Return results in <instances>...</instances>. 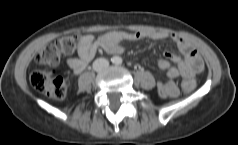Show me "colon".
Returning <instances> with one entry per match:
<instances>
[{
	"label": "colon",
	"mask_w": 238,
	"mask_h": 145,
	"mask_svg": "<svg viewBox=\"0 0 238 145\" xmlns=\"http://www.w3.org/2000/svg\"><path fill=\"white\" fill-rule=\"evenodd\" d=\"M79 36L63 37L47 45L36 56L39 66H56L63 54L72 53L77 47ZM30 82L39 92L53 98L63 99L67 93V83L62 74L35 68L30 73ZM194 86L188 82L182 83L185 93L190 92Z\"/></svg>",
	"instance_id": "obj_1"
}]
</instances>
